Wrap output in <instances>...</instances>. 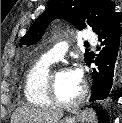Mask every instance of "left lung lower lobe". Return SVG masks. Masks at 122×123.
<instances>
[{"label": "left lung lower lobe", "mask_w": 122, "mask_h": 123, "mask_svg": "<svg viewBox=\"0 0 122 123\" xmlns=\"http://www.w3.org/2000/svg\"><path fill=\"white\" fill-rule=\"evenodd\" d=\"M101 47L97 57L90 55L88 65L95 63L98 67L92 71L93 86L90 102L114 98L122 73V38L121 27L116 14L112 15L98 33Z\"/></svg>", "instance_id": "1"}]
</instances>
